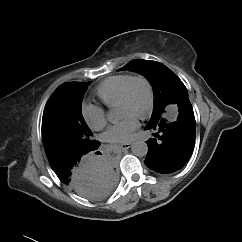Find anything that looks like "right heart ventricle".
Segmentation results:
<instances>
[{
    "label": "right heart ventricle",
    "instance_id": "obj_1",
    "mask_svg": "<svg viewBox=\"0 0 242 242\" xmlns=\"http://www.w3.org/2000/svg\"><path fill=\"white\" fill-rule=\"evenodd\" d=\"M131 77L130 74H118L108 77L96 87V96L107 107L117 106L121 92Z\"/></svg>",
    "mask_w": 242,
    "mask_h": 242
}]
</instances>
